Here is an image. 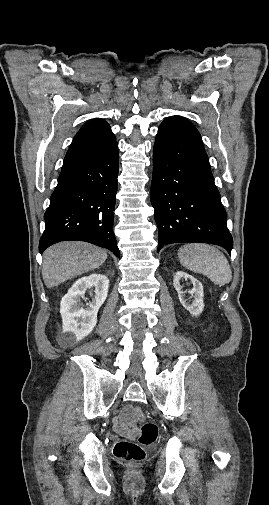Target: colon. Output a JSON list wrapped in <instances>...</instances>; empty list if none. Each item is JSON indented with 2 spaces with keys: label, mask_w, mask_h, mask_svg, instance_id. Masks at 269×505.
<instances>
[{
  "label": "colon",
  "mask_w": 269,
  "mask_h": 505,
  "mask_svg": "<svg viewBox=\"0 0 269 505\" xmlns=\"http://www.w3.org/2000/svg\"><path fill=\"white\" fill-rule=\"evenodd\" d=\"M133 418L143 420V413L134 408ZM158 436V427L153 422H145L141 426L137 441L120 440L114 445V456L124 463L135 464L145 458V447L152 445Z\"/></svg>",
  "instance_id": "obj_1"
}]
</instances>
